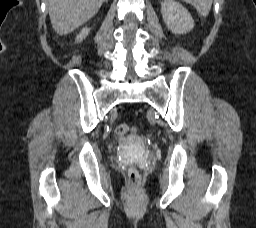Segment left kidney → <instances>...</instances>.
<instances>
[{
    "mask_svg": "<svg viewBox=\"0 0 256 228\" xmlns=\"http://www.w3.org/2000/svg\"><path fill=\"white\" fill-rule=\"evenodd\" d=\"M161 13L167 28L174 34H185L194 27L188 10L174 0H164L161 3Z\"/></svg>",
    "mask_w": 256,
    "mask_h": 228,
    "instance_id": "5707ae66",
    "label": "left kidney"
}]
</instances>
